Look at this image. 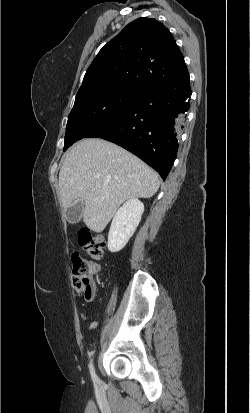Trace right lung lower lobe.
Instances as JSON below:
<instances>
[{"mask_svg":"<svg viewBox=\"0 0 250 413\" xmlns=\"http://www.w3.org/2000/svg\"><path fill=\"white\" fill-rule=\"evenodd\" d=\"M190 96L189 79L182 85L141 91L119 114L85 138H102L127 149L165 180L176 159Z\"/></svg>","mask_w":250,"mask_h":413,"instance_id":"98d812e1","label":"right lung lower lobe"}]
</instances>
